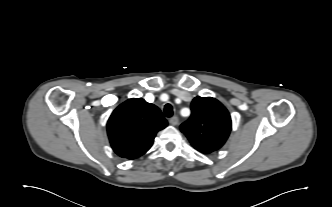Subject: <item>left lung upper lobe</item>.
<instances>
[{"label": "left lung upper lobe", "mask_w": 332, "mask_h": 207, "mask_svg": "<svg viewBox=\"0 0 332 207\" xmlns=\"http://www.w3.org/2000/svg\"><path fill=\"white\" fill-rule=\"evenodd\" d=\"M192 114L181 131L198 151L209 154L221 148L231 131L227 109L215 98L199 97L191 103Z\"/></svg>", "instance_id": "left-lung-upper-lobe-1"}]
</instances>
